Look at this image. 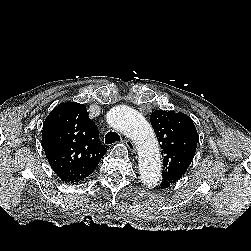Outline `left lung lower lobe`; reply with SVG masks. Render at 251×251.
I'll return each instance as SVG.
<instances>
[{
  "label": "left lung lower lobe",
  "instance_id": "0a47b994",
  "mask_svg": "<svg viewBox=\"0 0 251 251\" xmlns=\"http://www.w3.org/2000/svg\"><path fill=\"white\" fill-rule=\"evenodd\" d=\"M167 187H168L167 182H166V181H164V182L162 183V181H161V183H160V185H159V187H158V188L163 189V188H167Z\"/></svg>",
  "mask_w": 251,
  "mask_h": 251
}]
</instances>
